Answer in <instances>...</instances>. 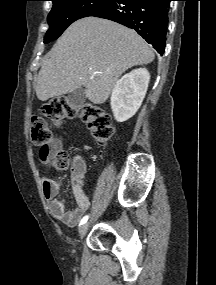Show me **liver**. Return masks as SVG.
<instances>
[{
    "instance_id": "1",
    "label": "liver",
    "mask_w": 216,
    "mask_h": 285,
    "mask_svg": "<svg viewBox=\"0 0 216 285\" xmlns=\"http://www.w3.org/2000/svg\"><path fill=\"white\" fill-rule=\"evenodd\" d=\"M151 47L135 31L96 17L74 22L57 40L38 75L39 100L85 87L86 97L104 103L129 68L154 60Z\"/></svg>"
}]
</instances>
